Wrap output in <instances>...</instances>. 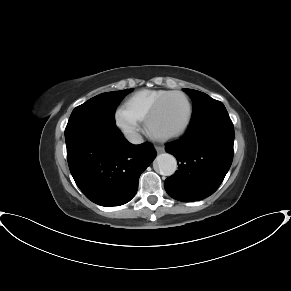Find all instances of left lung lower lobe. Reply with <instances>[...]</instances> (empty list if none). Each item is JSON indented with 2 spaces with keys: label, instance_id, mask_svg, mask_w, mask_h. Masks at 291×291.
Instances as JSON below:
<instances>
[{
  "label": "left lung lower lobe",
  "instance_id": "0a47b994",
  "mask_svg": "<svg viewBox=\"0 0 291 291\" xmlns=\"http://www.w3.org/2000/svg\"><path fill=\"white\" fill-rule=\"evenodd\" d=\"M234 126L226 109L191 124L166 145L178 170L164 183L166 192L182 202L202 200L222 183L233 159Z\"/></svg>",
  "mask_w": 291,
  "mask_h": 291
}]
</instances>
